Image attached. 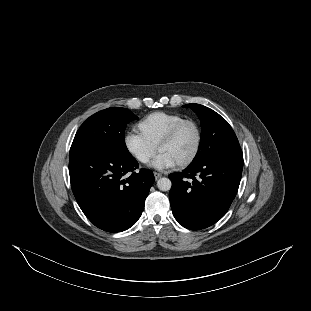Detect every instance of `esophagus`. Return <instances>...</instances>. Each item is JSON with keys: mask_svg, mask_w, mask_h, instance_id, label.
I'll return each mask as SVG.
<instances>
[{"mask_svg": "<svg viewBox=\"0 0 311 311\" xmlns=\"http://www.w3.org/2000/svg\"><path fill=\"white\" fill-rule=\"evenodd\" d=\"M154 176H155V179L158 180L159 178L162 177V174L159 173V172L154 171Z\"/></svg>", "mask_w": 311, "mask_h": 311, "instance_id": "esophagus-1", "label": "esophagus"}]
</instances>
